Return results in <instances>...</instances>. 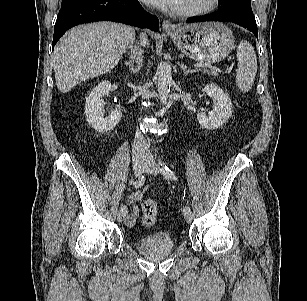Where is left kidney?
I'll return each mask as SVG.
<instances>
[{
	"label": "left kidney",
	"instance_id": "obj_1",
	"mask_svg": "<svg viewBox=\"0 0 307 301\" xmlns=\"http://www.w3.org/2000/svg\"><path fill=\"white\" fill-rule=\"evenodd\" d=\"M209 97L215 99L213 111L208 114L200 112L197 115V120L201 127L212 130L222 126L231 116L233 108L229 96L215 84L206 85L203 89Z\"/></svg>",
	"mask_w": 307,
	"mask_h": 301
}]
</instances>
